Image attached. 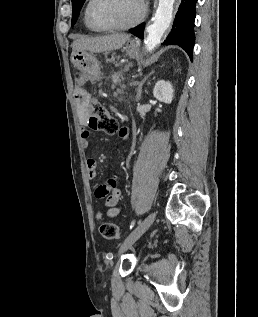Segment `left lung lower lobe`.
I'll return each instance as SVG.
<instances>
[{
    "label": "left lung lower lobe",
    "instance_id": "0a47b994",
    "mask_svg": "<svg viewBox=\"0 0 258 317\" xmlns=\"http://www.w3.org/2000/svg\"><path fill=\"white\" fill-rule=\"evenodd\" d=\"M198 0H182L176 14V18L173 23V28L164 41V45H178L182 47L190 59L193 57L194 47V21H195V7ZM145 24H141L130 32L139 37L143 38Z\"/></svg>",
    "mask_w": 258,
    "mask_h": 317
}]
</instances>
